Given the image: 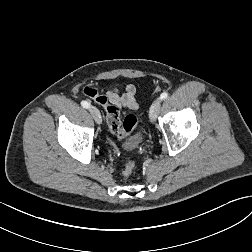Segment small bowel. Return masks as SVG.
Masks as SVG:
<instances>
[{
  "instance_id": "obj_1",
  "label": "small bowel",
  "mask_w": 252,
  "mask_h": 252,
  "mask_svg": "<svg viewBox=\"0 0 252 252\" xmlns=\"http://www.w3.org/2000/svg\"><path fill=\"white\" fill-rule=\"evenodd\" d=\"M104 98L108 103L117 106L119 110H135L138 108L136 88L132 84L127 85L123 92H120L117 88L112 89L106 93Z\"/></svg>"
}]
</instances>
